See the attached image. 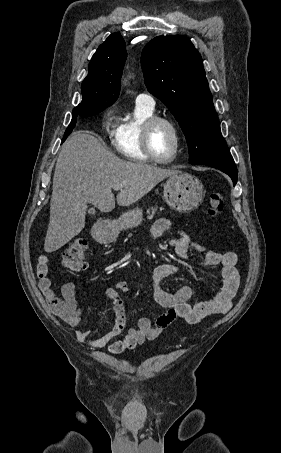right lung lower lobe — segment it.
Returning a JSON list of instances; mask_svg holds the SVG:
<instances>
[{
	"mask_svg": "<svg viewBox=\"0 0 281 453\" xmlns=\"http://www.w3.org/2000/svg\"><path fill=\"white\" fill-rule=\"evenodd\" d=\"M100 112L101 111H98V110L93 109V108L80 109V110H74L73 109L72 121L69 124L68 128L66 129V132L64 134L62 142H64L65 139L69 136V134L73 131V129L75 127V124H76V121H77V117L79 115L84 116V117H89V116L95 115V114L100 113Z\"/></svg>",
	"mask_w": 281,
	"mask_h": 453,
	"instance_id": "obj_1",
	"label": "right lung lower lobe"
}]
</instances>
